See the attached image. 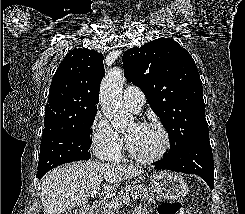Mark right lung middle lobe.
I'll list each match as a JSON object with an SVG mask.
<instances>
[{
  "label": "right lung middle lobe",
  "instance_id": "obj_1",
  "mask_svg": "<svg viewBox=\"0 0 245 214\" xmlns=\"http://www.w3.org/2000/svg\"><path fill=\"white\" fill-rule=\"evenodd\" d=\"M96 112L92 110L74 126L42 135L37 175L64 163L90 158V131Z\"/></svg>",
  "mask_w": 245,
  "mask_h": 214
}]
</instances>
